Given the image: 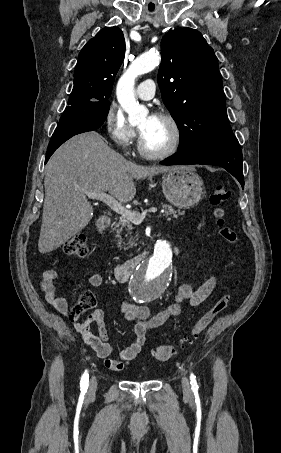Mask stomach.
<instances>
[{
  "label": "stomach",
  "mask_w": 281,
  "mask_h": 453,
  "mask_svg": "<svg viewBox=\"0 0 281 453\" xmlns=\"http://www.w3.org/2000/svg\"><path fill=\"white\" fill-rule=\"evenodd\" d=\"M162 190L169 202L179 208H192L204 194V182L193 166H179L163 174Z\"/></svg>",
  "instance_id": "0dacf381"
}]
</instances>
